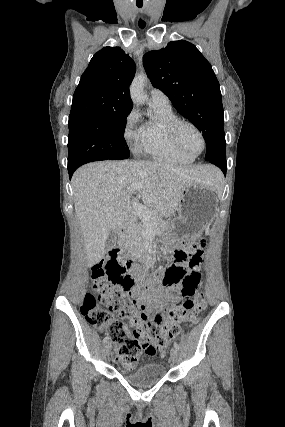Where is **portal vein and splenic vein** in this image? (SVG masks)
<instances>
[{"mask_svg":"<svg viewBox=\"0 0 285 427\" xmlns=\"http://www.w3.org/2000/svg\"><path fill=\"white\" fill-rule=\"evenodd\" d=\"M141 188H142L141 184H134L132 186L131 190H138V191H140ZM132 205H133L134 212L138 216H141L144 220L150 219L152 217V214L156 213V211H150L146 206H144V205H142V204H140V203H138L136 201H133Z\"/></svg>","mask_w":285,"mask_h":427,"instance_id":"portal-vein-and-splenic-vein-1","label":"portal vein and splenic vein"}]
</instances>
